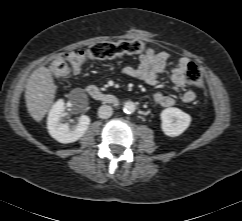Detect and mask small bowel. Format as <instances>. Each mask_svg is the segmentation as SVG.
Wrapping results in <instances>:
<instances>
[{
    "mask_svg": "<svg viewBox=\"0 0 242 221\" xmlns=\"http://www.w3.org/2000/svg\"><path fill=\"white\" fill-rule=\"evenodd\" d=\"M169 58L170 54L167 52L156 53L153 49L148 48L144 53L139 55L138 66H125L122 68V73L126 76L143 80L149 85H155L159 76L166 70ZM188 63V58L181 57L171 68L170 81L179 88L186 86L185 72ZM195 98L194 91L190 89L185 90L181 96L182 102L187 104L192 103ZM154 101L162 107H171L176 103L174 97L162 92H157L154 95Z\"/></svg>",
    "mask_w": 242,
    "mask_h": 221,
    "instance_id": "obj_1",
    "label": "small bowel"
}]
</instances>
